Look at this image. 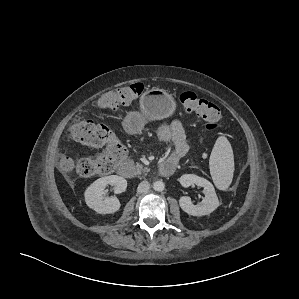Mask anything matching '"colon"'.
Here are the masks:
<instances>
[{"label": "colon", "instance_id": "colon-1", "mask_svg": "<svg viewBox=\"0 0 299 299\" xmlns=\"http://www.w3.org/2000/svg\"><path fill=\"white\" fill-rule=\"evenodd\" d=\"M143 89L141 83L119 87L100 96L96 100L95 106L98 109H117L136 101ZM179 100L185 111L194 113L204 120L207 130H215L220 125L221 110L213 102L201 98L191 91L182 92ZM70 134L77 142L101 148L102 152L80 159L64 157L60 161V167L64 171H75L85 177L107 175L125 158V147L111 129L104 124L78 117L70 127Z\"/></svg>", "mask_w": 299, "mask_h": 299}]
</instances>
